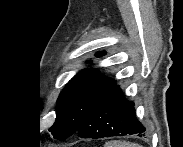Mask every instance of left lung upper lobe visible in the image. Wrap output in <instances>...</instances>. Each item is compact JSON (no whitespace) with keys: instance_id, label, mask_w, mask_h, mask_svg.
I'll list each match as a JSON object with an SVG mask.
<instances>
[{"instance_id":"obj_1","label":"left lung upper lobe","mask_w":183,"mask_h":147,"mask_svg":"<svg viewBox=\"0 0 183 147\" xmlns=\"http://www.w3.org/2000/svg\"><path fill=\"white\" fill-rule=\"evenodd\" d=\"M102 54L104 52L96 56ZM114 85L115 81L95 69H85L76 74L58 98L56 121L49 129L54 138L65 140L76 133L95 104Z\"/></svg>"}]
</instances>
